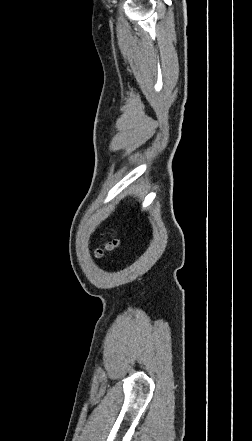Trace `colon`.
Here are the masks:
<instances>
[{
  "label": "colon",
  "mask_w": 252,
  "mask_h": 441,
  "mask_svg": "<svg viewBox=\"0 0 252 441\" xmlns=\"http://www.w3.org/2000/svg\"><path fill=\"white\" fill-rule=\"evenodd\" d=\"M120 246V240L119 239H114L108 243H106L104 246L98 248L96 250V256L97 257H101L103 256L105 253L108 252H112L115 249H117Z\"/></svg>",
  "instance_id": "colon-1"
}]
</instances>
